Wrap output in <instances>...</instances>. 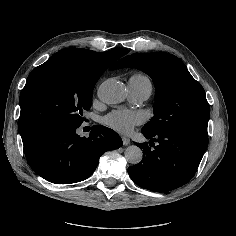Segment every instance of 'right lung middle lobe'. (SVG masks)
<instances>
[{
  "label": "right lung middle lobe",
  "instance_id": "1",
  "mask_svg": "<svg viewBox=\"0 0 236 236\" xmlns=\"http://www.w3.org/2000/svg\"><path fill=\"white\" fill-rule=\"evenodd\" d=\"M105 70L59 51L29 74L20 95L23 145L56 127H78L89 110L93 88Z\"/></svg>",
  "mask_w": 236,
  "mask_h": 236
}]
</instances>
